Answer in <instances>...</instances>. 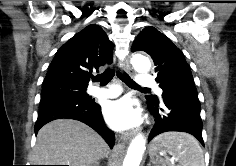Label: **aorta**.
Here are the masks:
<instances>
[{
  "label": "aorta",
  "mask_w": 236,
  "mask_h": 166,
  "mask_svg": "<svg viewBox=\"0 0 236 166\" xmlns=\"http://www.w3.org/2000/svg\"><path fill=\"white\" fill-rule=\"evenodd\" d=\"M131 64L137 72L146 73L151 68L149 59L142 55H134ZM146 140L143 135H137L129 145L122 166H139L145 151Z\"/></svg>",
  "instance_id": "1"
}]
</instances>
